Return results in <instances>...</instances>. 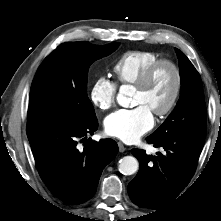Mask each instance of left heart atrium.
<instances>
[{
	"instance_id": "1",
	"label": "left heart atrium",
	"mask_w": 221,
	"mask_h": 221,
	"mask_svg": "<svg viewBox=\"0 0 221 221\" xmlns=\"http://www.w3.org/2000/svg\"><path fill=\"white\" fill-rule=\"evenodd\" d=\"M154 124L152 112L145 105L120 109L108 115L104 127L108 135L132 143L148 132Z\"/></svg>"
}]
</instances>
